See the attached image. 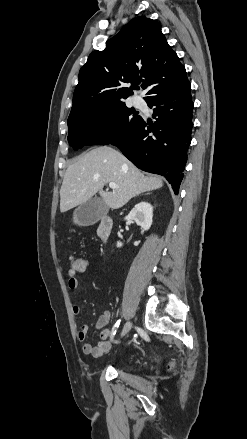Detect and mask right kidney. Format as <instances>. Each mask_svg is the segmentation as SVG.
Returning <instances> with one entry per match:
<instances>
[{
	"label": "right kidney",
	"mask_w": 247,
	"mask_h": 439,
	"mask_svg": "<svg viewBox=\"0 0 247 439\" xmlns=\"http://www.w3.org/2000/svg\"><path fill=\"white\" fill-rule=\"evenodd\" d=\"M153 207L148 202H140L134 206L130 213L125 217L126 220H134L143 230H148L152 225ZM122 243L117 242V247Z\"/></svg>",
	"instance_id": "1"
}]
</instances>
